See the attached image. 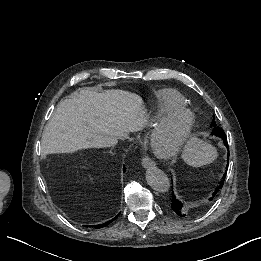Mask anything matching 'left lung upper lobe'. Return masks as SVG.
Returning a JSON list of instances; mask_svg holds the SVG:
<instances>
[{
	"label": "left lung upper lobe",
	"instance_id": "left-lung-upper-lobe-1",
	"mask_svg": "<svg viewBox=\"0 0 261 261\" xmlns=\"http://www.w3.org/2000/svg\"><path fill=\"white\" fill-rule=\"evenodd\" d=\"M212 126L214 127L213 131H212V134L215 135V136H219L223 139H225V133L222 129H220L219 127H216L215 125V122L213 121L212 122Z\"/></svg>",
	"mask_w": 261,
	"mask_h": 261
}]
</instances>
